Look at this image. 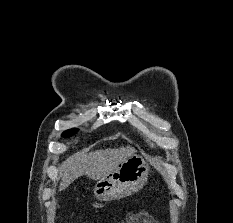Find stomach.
<instances>
[{
  "label": "stomach",
  "mask_w": 233,
  "mask_h": 223,
  "mask_svg": "<svg viewBox=\"0 0 233 223\" xmlns=\"http://www.w3.org/2000/svg\"><path fill=\"white\" fill-rule=\"evenodd\" d=\"M150 167L142 155H129L117 163V167L97 179L93 185L94 197L98 201H112L133 195L144 187Z\"/></svg>",
  "instance_id": "stomach-1"
}]
</instances>
